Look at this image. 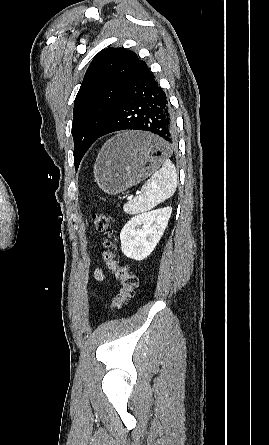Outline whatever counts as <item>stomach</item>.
I'll use <instances>...</instances> for the list:
<instances>
[{"label": "stomach", "instance_id": "stomach-1", "mask_svg": "<svg viewBox=\"0 0 269 445\" xmlns=\"http://www.w3.org/2000/svg\"><path fill=\"white\" fill-rule=\"evenodd\" d=\"M166 143L151 134L124 132L111 138L99 152L94 177L108 194H119L155 172L165 159Z\"/></svg>", "mask_w": 269, "mask_h": 445}]
</instances>
